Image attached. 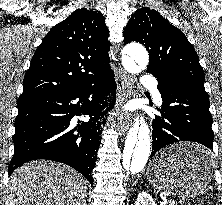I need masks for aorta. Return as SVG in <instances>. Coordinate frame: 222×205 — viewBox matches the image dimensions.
I'll return each mask as SVG.
<instances>
[{"label": "aorta", "instance_id": "obj_1", "mask_svg": "<svg viewBox=\"0 0 222 205\" xmlns=\"http://www.w3.org/2000/svg\"><path fill=\"white\" fill-rule=\"evenodd\" d=\"M122 63L129 72L145 69L149 56L140 44H130L123 50ZM151 149L150 128L141 118L140 125H134L126 137L121 166L125 174L135 175L145 167Z\"/></svg>", "mask_w": 222, "mask_h": 205}]
</instances>
